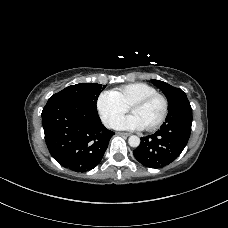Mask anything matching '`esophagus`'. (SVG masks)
<instances>
[{"label":"esophagus","mask_w":228,"mask_h":228,"mask_svg":"<svg viewBox=\"0 0 228 228\" xmlns=\"http://www.w3.org/2000/svg\"><path fill=\"white\" fill-rule=\"evenodd\" d=\"M117 134L120 136H126V137L131 135L130 133H126V132H117Z\"/></svg>","instance_id":"obj_1"}]
</instances>
